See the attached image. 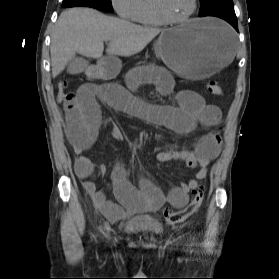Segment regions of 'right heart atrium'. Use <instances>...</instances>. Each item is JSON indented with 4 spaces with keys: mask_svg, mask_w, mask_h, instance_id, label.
<instances>
[{
    "mask_svg": "<svg viewBox=\"0 0 279 279\" xmlns=\"http://www.w3.org/2000/svg\"><path fill=\"white\" fill-rule=\"evenodd\" d=\"M115 12L123 19L134 20L138 8L139 0H111Z\"/></svg>",
    "mask_w": 279,
    "mask_h": 279,
    "instance_id": "obj_1",
    "label": "right heart atrium"
}]
</instances>
